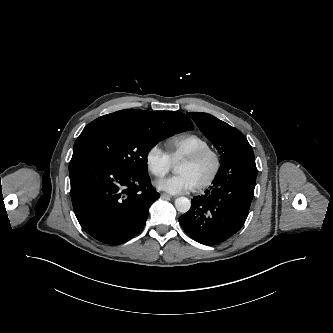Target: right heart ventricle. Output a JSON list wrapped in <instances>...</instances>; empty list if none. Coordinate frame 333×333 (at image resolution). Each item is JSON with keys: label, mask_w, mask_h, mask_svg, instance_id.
Here are the masks:
<instances>
[{"label": "right heart ventricle", "mask_w": 333, "mask_h": 333, "mask_svg": "<svg viewBox=\"0 0 333 333\" xmlns=\"http://www.w3.org/2000/svg\"><path fill=\"white\" fill-rule=\"evenodd\" d=\"M166 147L171 162H177L195 151L209 148V143L200 135L181 133L167 139Z\"/></svg>", "instance_id": "right-heart-ventricle-1"}]
</instances>
